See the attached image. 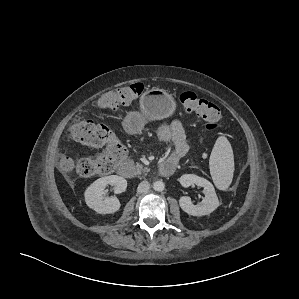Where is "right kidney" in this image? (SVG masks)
<instances>
[{
    "instance_id": "ca27d5eb",
    "label": "right kidney",
    "mask_w": 299,
    "mask_h": 299,
    "mask_svg": "<svg viewBox=\"0 0 299 299\" xmlns=\"http://www.w3.org/2000/svg\"><path fill=\"white\" fill-rule=\"evenodd\" d=\"M108 185H113L115 193L119 194L126 190L127 181L117 175L102 177L94 181L84 193L87 206L99 214L115 213L121 206L117 197L104 198Z\"/></svg>"
}]
</instances>
